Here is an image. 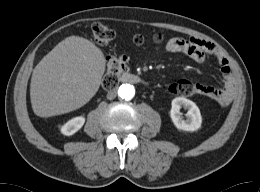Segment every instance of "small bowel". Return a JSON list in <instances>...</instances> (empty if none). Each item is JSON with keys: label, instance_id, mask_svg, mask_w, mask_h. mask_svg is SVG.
Segmentation results:
<instances>
[{"label": "small bowel", "instance_id": "1", "mask_svg": "<svg viewBox=\"0 0 260 192\" xmlns=\"http://www.w3.org/2000/svg\"><path fill=\"white\" fill-rule=\"evenodd\" d=\"M166 50L170 53H181L196 62H203L206 57L212 56L220 67L223 76V87L215 88L196 83V93L211 98L223 106L230 104L236 92V82L233 71L222 51L213 43L203 39L171 38L166 44Z\"/></svg>", "mask_w": 260, "mask_h": 192}]
</instances>
